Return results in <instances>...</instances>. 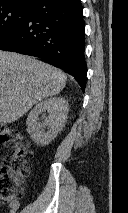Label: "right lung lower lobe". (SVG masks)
Returning a JSON list of instances; mask_svg holds the SVG:
<instances>
[{"mask_svg":"<svg viewBox=\"0 0 128 213\" xmlns=\"http://www.w3.org/2000/svg\"><path fill=\"white\" fill-rule=\"evenodd\" d=\"M83 9L80 0H39L0 49L43 58L86 87Z\"/></svg>","mask_w":128,"mask_h":213,"instance_id":"98d812e1","label":"right lung lower lobe"}]
</instances>
